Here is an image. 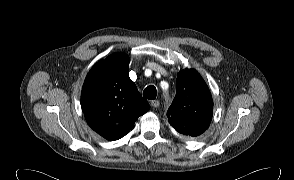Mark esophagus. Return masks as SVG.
Wrapping results in <instances>:
<instances>
[{"label":"esophagus","mask_w":294,"mask_h":180,"mask_svg":"<svg viewBox=\"0 0 294 180\" xmlns=\"http://www.w3.org/2000/svg\"><path fill=\"white\" fill-rule=\"evenodd\" d=\"M151 106L154 107V108H157L160 104V102L158 100H152L150 102Z\"/></svg>","instance_id":"esophagus-1"}]
</instances>
